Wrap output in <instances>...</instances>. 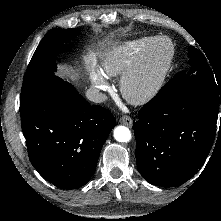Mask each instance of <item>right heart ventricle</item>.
Returning <instances> with one entry per match:
<instances>
[{"label": "right heart ventricle", "mask_w": 221, "mask_h": 221, "mask_svg": "<svg viewBox=\"0 0 221 221\" xmlns=\"http://www.w3.org/2000/svg\"><path fill=\"white\" fill-rule=\"evenodd\" d=\"M155 39L154 36L142 37L116 47L103 63V72L110 77L126 74L142 60Z\"/></svg>", "instance_id": "right-heart-ventricle-1"}]
</instances>
